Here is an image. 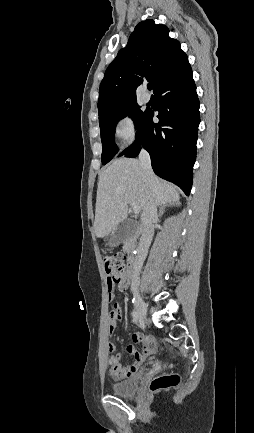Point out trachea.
<instances>
[{"instance_id":"trachea-1","label":"trachea","mask_w":254,"mask_h":433,"mask_svg":"<svg viewBox=\"0 0 254 433\" xmlns=\"http://www.w3.org/2000/svg\"><path fill=\"white\" fill-rule=\"evenodd\" d=\"M147 88H148V90H151L152 86L151 85H147Z\"/></svg>"}]
</instances>
